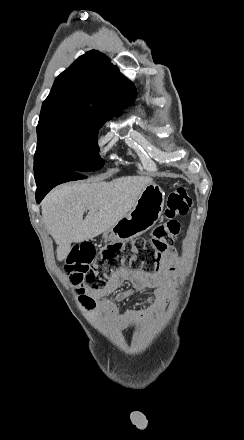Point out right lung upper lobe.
I'll return each instance as SVG.
<instances>
[{
  "mask_svg": "<svg viewBox=\"0 0 244 440\" xmlns=\"http://www.w3.org/2000/svg\"><path fill=\"white\" fill-rule=\"evenodd\" d=\"M135 97L134 85L122 76L107 56L92 50L55 79L43 104L73 103L117 112Z\"/></svg>",
  "mask_w": 244,
  "mask_h": 440,
  "instance_id": "1",
  "label": "right lung upper lobe"
}]
</instances>
